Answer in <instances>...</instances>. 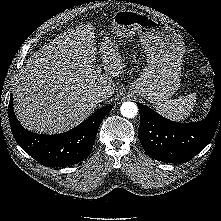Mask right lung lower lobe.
Segmentation results:
<instances>
[{"label":"right lung lower lobe","mask_w":221,"mask_h":221,"mask_svg":"<svg viewBox=\"0 0 221 221\" xmlns=\"http://www.w3.org/2000/svg\"><path fill=\"white\" fill-rule=\"evenodd\" d=\"M112 106L94 112L77 127L57 135H43L26 130L17 120L10 97L8 117L11 131L19 146L32 158L46 167L76 164L91 152L98 128Z\"/></svg>","instance_id":"obj_1"}]
</instances>
